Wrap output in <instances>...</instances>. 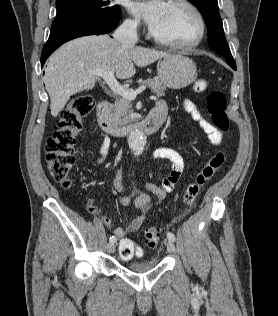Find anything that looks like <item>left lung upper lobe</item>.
I'll return each mask as SVG.
<instances>
[{
    "mask_svg": "<svg viewBox=\"0 0 278 316\" xmlns=\"http://www.w3.org/2000/svg\"><path fill=\"white\" fill-rule=\"evenodd\" d=\"M202 13L208 27V43L212 50L225 57L227 63L236 70V64L232 57L223 32V24L218 10L217 0H189Z\"/></svg>",
    "mask_w": 278,
    "mask_h": 316,
    "instance_id": "5c2ea615",
    "label": "left lung upper lobe"
}]
</instances>
